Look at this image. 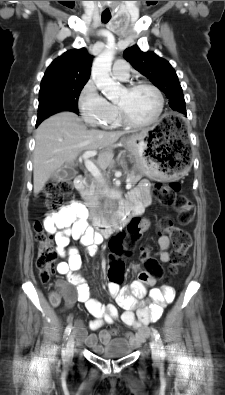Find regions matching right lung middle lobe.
I'll return each mask as SVG.
<instances>
[{
    "label": "right lung middle lobe",
    "instance_id": "dd1d6c3e",
    "mask_svg": "<svg viewBox=\"0 0 225 395\" xmlns=\"http://www.w3.org/2000/svg\"><path fill=\"white\" fill-rule=\"evenodd\" d=\"M86 83L41 85L37 121L41 122L59 111H78V98Z\"/></svg>",
    "mask_w": 225,
    "mask_h": 395
}]
</instances>
